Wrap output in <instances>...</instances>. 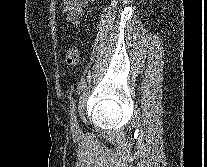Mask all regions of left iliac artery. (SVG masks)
Here are the masks:
<instances>
[{
  "mask_svg": "<svg viewBox=\"0 0 207 167\" xmlns=\"http://www.w3.org/2000/svg\"><path fill=\"white\" fill-rule=\"evenodd\" d=\"M76 109V101L72 99L71 104H70V114L71 116L74 115Z\"/></svg>",
  "mask_w": 207,
  "mask_h": 167,
  "instance_id": "1",
  "label": "left iliac artery"
}]
</instances>
